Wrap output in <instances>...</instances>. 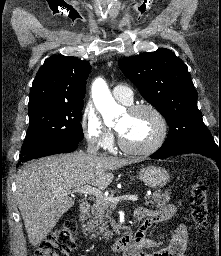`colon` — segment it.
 Masks as SVG:
<instances>
[{"label":"colon","mask_w":221,"mask_h":256,"mask_svg":"<svg viewBox=\"0 0 221 256\" xmlns=\"http://www.w3.org/2000/svg\"><path fill=\"white\" fill-rule=\"evenodd\" d=\"M189 203L195 227L200 234H203L208 225L207 188L200 178H197L191 186ZM75 233V221L66 220L62 226L41 241L35 256H68L76 246Z\"/></svg>","instance_id":"5ec220e1"}]
</instances>
